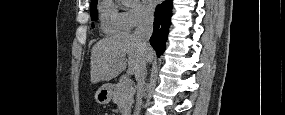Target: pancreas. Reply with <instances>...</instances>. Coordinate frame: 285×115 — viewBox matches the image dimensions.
Masks as SVG:
<instances>
[{
  "label": "pancreas",
  "instance_id": "obj_1",
  "mask_svg": "<svg viewBox=\"0 0 285 115\" xmlns=\"http://www.w3.org/2000/svg\"><path fill=\"white\" fill-rule=\"evenodd\" d=\"M134 94L135 89L132 85L125 86L120 82L114 86L113 102L121 107L123 114L130 111Z\"/></svg>",
  "mask_w": 285,
  "mask_h": 115
}]
</instances>
